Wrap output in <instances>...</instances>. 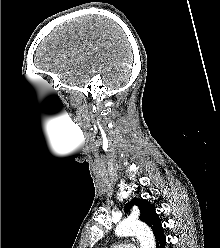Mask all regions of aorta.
<instances>
[{
	"instance_id": "762f6f07",
	"label": "aorta",
	"mask_w": 220,
	"mask_h": 248,
	"mask_svg": "<svg viewBox=\"0 0 220 248\" xmlns=\"http://www.w3.org/2000/svg\"><path fill=\"white\" fill-rule=\"evenodd\" d=\"M115 234L119 237L136 236L140 242V248H155V239L151 229L138 220L125 219L121 221Z\"/></svg>"
}]
</instances>
